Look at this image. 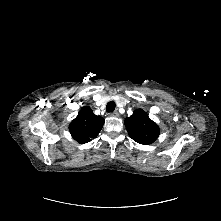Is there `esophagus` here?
Here are the masks:
<instances>
[{
    "mask_svg": "<svg viewBox=\"0 0 221 221\" xmlns=\"http://www.w3.org/2000/svg\"><path fill=\"white\" fill-rule=\"evenodd\" d=\"M110 115L113 116V117H117L119 115V113L117 111H114Z\"/></svg>",
    "mask_w": 221,
    "mask_h": 221,
    "instance_id": "34e87169",
    "label": "esophagus"
}]
</instances>
